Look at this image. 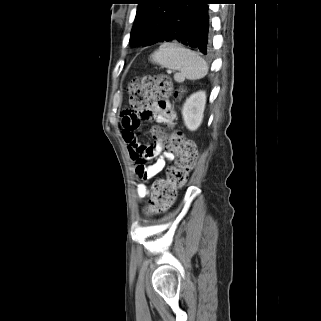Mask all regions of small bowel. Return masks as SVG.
<instances>
[{
  "label": "small bowel",
  "mask_w": 321,
  "mask_h": 321,
  "mask_svg": "<svg viewBox=\"0 0 321 321\" xmlns=\"http://www.w3.org/2000/svg\"><path fill=\"white\" fill-rule=\"evenodd\" d=\"M176 112L171 103L161 99L151 104L148 108L137 111H125L121 119V135L127 144L129 155L135 165V175L142 182L137 185V195L143 199L149 195L147 185L167 164L174 160L171 151H164L163 140L158 138L153 145H143L139 142L136 131L142 121L154 120L158 123L173 126ZM152 134L157 135V127L152 129ZM154 160L152 163L149 161Z\"/></svg>",
  "instance_id": "1"
}]
</instances>
